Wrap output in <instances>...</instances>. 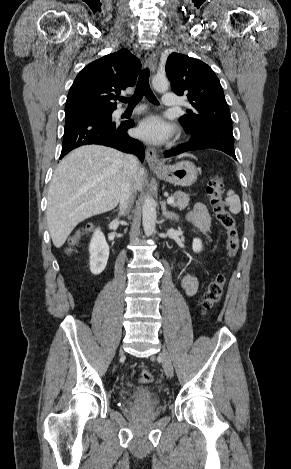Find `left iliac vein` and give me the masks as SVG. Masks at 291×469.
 <instances>
[{
	"label": "left iliac vein",
	"instance_id": "4c4485c4",
	"mask_svg": "<svg viewBox=\"0 0 291 469\" xmlns=\"http://www.w3.org/2000/svg\"><path fill=\"white\" fill-rule=\"evenodd\" d=\"M160 357H161L162 365H163L166 375L171 378L174 374V370H173V366H172L169 353L165 348L162 349V352L160 353Z\"/></svg>",
	"mask_w": 291,
	"mask_h": 469
}]
</instances>
